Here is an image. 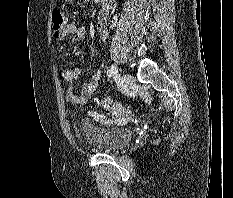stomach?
Returning <instances> with one entry per match:
<instances>
[{"instance_id":"0dacf381","label":"stomach","mask_w":233,"mask_h":198,"mask_svg":"<svg viewBox=\"0 0 233 198\" xmlns=\"http://www.w3.org/2000/svg\"><path fill=\"white\" fill-rule=\"evenodd\" d=\"M66 2H72L73 0H65Z\"/></svg>"}]
</instances>
